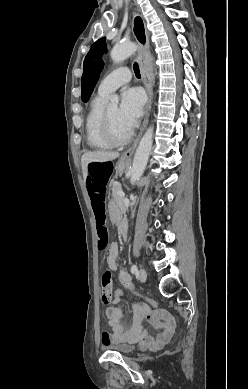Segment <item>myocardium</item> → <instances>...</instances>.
<instances>
[{"label": "myocardium", "mask_w": 248, "mask_h": 389, "mask_svg": "<svg viewBox=\"0 0 248 389\" xmlns=\"http://www.w3.org/2000/svg\"><path fill=\"white\" fill-rule=\"evenodd\" d=\"M103 134L105 138L115 146L124 145L128 143L132 138V131L130 130L125 136H119L114 131L111 118L109 116L108 110H104L103 114Z\"/></svg>", "instance_id": "f54148a6"}]
</instances>
